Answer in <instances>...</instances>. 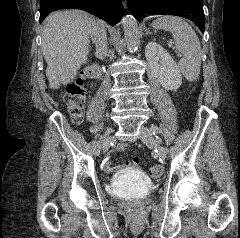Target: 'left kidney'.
Here are the masks:
<instances>
[{"mask_svg":"<svg viewBox=\"0 0 240 238\" xmlns=\"http://www.w3.org/2000/svg\"><path fill=\"white\" fill-rule=\"evenodd\" d=\"M148 65L158 82L166 90H177L182 84L178 65L158 43L150 41L145 49Z\"/></svg>","mask_w":240,"mask_h":238,"instance_id":"left-kidney-1","label":"left kidney"}]
</instances>
